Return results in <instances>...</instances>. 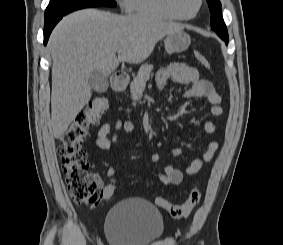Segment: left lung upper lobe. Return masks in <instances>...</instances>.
I'll use <instances>...</instances> for the list:
<instances>
[{"mask_svg": "<svg viewBox=\"0 0 283 245\" xmlns=\"http://www.w3.org/2000/svg\"><path fill=\"white\" fill-rule=\"evenodd\" d=\"M211 13V27L219 37L228 43V32L222 18L220 0H207Z\"/></svg>", "mask_w": 283, "mask_h": 245, "instance_id": "obj_1", "label": "left lung upper lobe"}]
</instances>
